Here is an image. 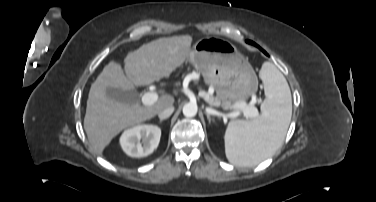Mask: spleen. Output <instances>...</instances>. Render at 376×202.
Returning a JSON list of instances; mask_svg holds the SVG:
<instances>
[{
    "instance_id": "1",
    "label": "spleen",
    "mask_w": 376,
    "mask_h": 202,
    "mask_svg": "<svg viewBox=\"0 0 376 202\" xmlns=\"http://www.w3.org/2000/svg\"><path fill=\"white\" fill-rule=\"evenodd\" d=\"M260 76L265 100L254 120H233L225 135L226 157L234 165L253 166L272 156L282 144L292 116L289 85L271 62H264Z\"/></svg>"
}]
</instances>
